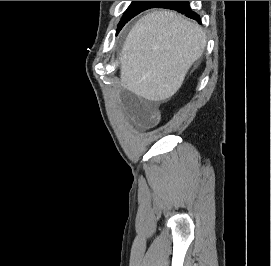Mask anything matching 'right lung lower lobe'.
<instances>
[{
  "label": "right lung lower lobe",
  "instance_id": "obj_1",
  "mask_svg": "<svg viewBox=\"0 0 271 266\" xmlns=\"http://www.w3.org/2000/svg\"><path fill=\"white\" fill-rule=\"evenodd\" d=\"M154 7L176 10L199 23L201 22L199 15L190 9L189 1H160Z\"/></svg>",
  "mask_w": 271,
  "mask_h": 266
}]
</instances>
